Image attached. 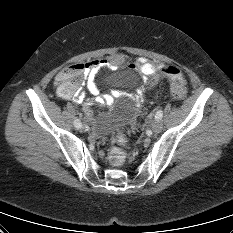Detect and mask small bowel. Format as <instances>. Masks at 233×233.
Instances as JSON below:
<instances>
[{
    "mask_svg": "<svg viewBox=\"0 0 233 233\" xmlns=\"http://www.w3.org/2000/svg\"><path fill=\"white\" fill-rule=\"evenodd\" d=\"M123 56L122 55H113L106 59L101 60H91L86 62L84 65V84L87 87L88 92L93 96V98H88L86 94L79 89L71 94H63L58 89V94L63 99H70L78 104H83L84 114L89 117L92 114L91 107L94 105H110L113 101L112 96L105 95L100 96L97 86L95 84V76L96 74L103 70V69H116L123 63ZM167 66L166 64H158L155 65L146 58H139L135 64L130 65L131 68L137 69L141 72L144 82L146 83L148 78L153 75H160L163 76L159 70L163 67ZM55 84L56 80H55ZM144 88H140L138 90V101H144Z\"/></svg>",
    "mask_w": 233,
    "mask_h": 233,
    "instance_id": "obj_1",
    "label": "small bowel"
}]
</instances>
